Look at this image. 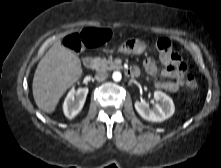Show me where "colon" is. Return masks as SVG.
Listing matches in <instances>:
<instances>
[{"label":"colon","instance_id":"5ec220e1","mask_svg":"<svg viewBox=\"0 0 221 168\" xmlns=\"http://www.w3.org/2000/svg\"><path fill=\"white\" fill-rule=\"evenodd\" d=\"M110 38V30L88 28L80 33H73L64 38V45L73 51H82L84 48H91L98 46L102 42ZM160 55L167 56L172 50V44L167 38H160L156 43ZM190 78L186 85L195 90L197 88L196 79L193 74L189 72Z\"/></svg>","mask_w":221,"mask_h":168}]
</instances>
